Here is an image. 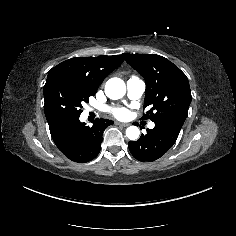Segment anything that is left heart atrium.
<instances>
[{"label": "left heart atrium", "instance_id": "left-heart-atrium-1", "mask_svg": "<svg viewBox=\"0 0 236 236\" xmlns=\"http://www.w3.org/2000/svg\"><path fill=\"white\" fill-rule=\"evenodd\" d=\"M111 115L117 118L124 117L127 114V110L123 107L114 106L109 109Z\"/></svg>", "mask_w": 236, "mask_h": 236}]
</instances>
